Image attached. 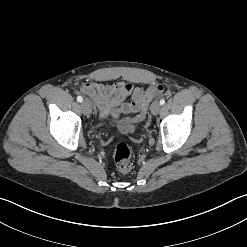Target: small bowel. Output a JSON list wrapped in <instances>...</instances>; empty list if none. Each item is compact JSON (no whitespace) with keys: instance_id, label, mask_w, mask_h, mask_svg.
Masks as SVG:
<instances>
[{"instance_id":"c3829d8e","label":"small bowel","mask_w":247,"mask_h":247,"mask_svg":"<svg viewBox=\"0 0 247 247\" xmlns=\"http://www.w3.org/2000/svg\"><path fill=\"white\" fill-rule=\"evenodd\" d=\"M161 90L160 85L142 89L123 81L112 85L88 82L81 88V92L92 100L102 119L115 120L120 113H139L134 119H123L119 122L118 128L122 132L132 130L143 120L149 103ZM129 96L131 102H124Z\"/></svg>"}]
</instances>
